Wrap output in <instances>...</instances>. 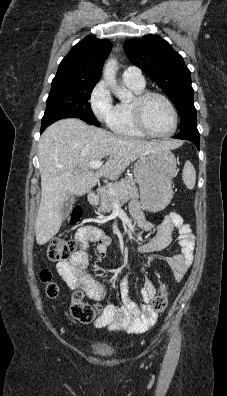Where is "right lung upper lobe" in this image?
Here are the masks:
<instances>
[{
  "label": "right lung upper lobe",
  "instance_id": "obj_1",
  "mask_svg": "<svg viewBox=\"0 0 227 396\" xmlns=\"http://www.w3.org/2000/svg\"><path fill=\"white\" fill-rule=\"evenodd\" d=\"M111 47L112 44L107 39L87 36L64 57L56 75L98 81Z\"/></svg>",
  "mask_w": 227,
  "mask_h": 396
}]
</instances>
